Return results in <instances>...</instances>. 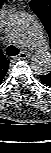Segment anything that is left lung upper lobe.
<instances>
[{
  "label": "left lung upper lobe",
  "mask_w": 51,
  "mask_h": 153,
  "mask_svg": "<svg viewBox=\"0 0 51 153\" xmlns=\"http://www.w3.org/2000/svg\"><path fill=\"white\" fill-rule=\"evenodd\" d=\"M30 7L42 21L51 40V0H31ZM42 77L51 83V72Z\"/></svg>",
  "instance_id": "left-lung-upper-lobe-1"
}]
</instances>
